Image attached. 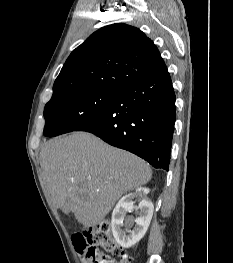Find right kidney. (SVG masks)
<instances>
[{"label":"right kidney","instance_id":"obj_1","mask_svg":"<svg viewBox=\"0 0 233 263\" xmlns=\"http://www.w3.org/2000/svg\"><path fill=\"white\" fill-rule=\"evenodd\" d=\"M149 192L150 190L148 188H137L135 193L123 196L112 212L111 227L113 236L123 248H130L139 242L149 227L154 210L153 203L147 197ZM133 199L138 200V206H134ZM134 209L138 210L139 216L135 220L129 218L126 223V228L123 229L126 212H132ZM134 222L136 226L131 231L129 228L132 227Z\"/></svg>","mask_w":233,"mask_h":263}]
</instances>
